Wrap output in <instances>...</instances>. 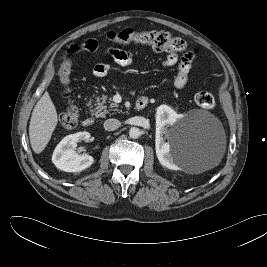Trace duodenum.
<instances>
[{"label": "duodenum", "instance_id": "410a0bca", "mask_svg": "<svg viewBox=\"0 0 267 267\" xmlns=\"http://www.w3.org/2000/svg\"><path fill=\"white\" fill-rule=\"evenodd\" d=\"M148 104V98L145 96H141L136 100L135 108L137 110H143ZM95 123V118L93 116H88L83 119L82 124L85 127L92 126Z\"/></svg>", "mask_w": 267, "mask_h": 267}]
</instances>
